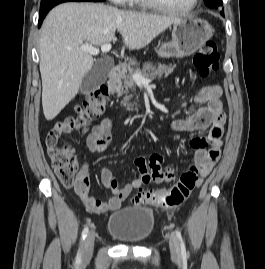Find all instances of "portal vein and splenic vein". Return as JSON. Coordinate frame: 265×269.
I'll return each instance as SVG.
<instances>
[{"label":"portal vein and splenic vein","mask_w":265,"mask_h":269,"mask_svg":"<svg viewBox=\"0 0 265 269\" xmlns=\"http://www.w3.org/2000/svg\"><path fill=\"white\" fill-rule=\"evenodd\" d=\"M111 48H112L111 43H106V44H103L101 46V51L103 53H107L111 50ZM80 49L84 52L91 54V55H98L100 52V50L98 48L92 47V46H87V45L81 46ZM132 77H133L134 81L136 83H139V84H149L151 82L150 79L143 77L140 73H137V72L134 73L132 75Z\"/></svg>","instance_id":"1"}]
</instances>
